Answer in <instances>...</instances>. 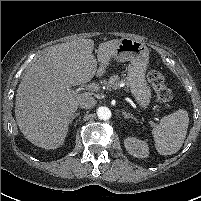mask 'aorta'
Returning a JSON list of instances; mask_svg holds the SVG:
<instances>
[{
    "label": "aorta",
    "mask_w": 201,
    "mask_h": 201,
    "mask_svg": "<svg viewBox=\"0 0 201 201\" xmlns=\"http://www.w3.org/2000/svg\"><path fill=\"white\" fill-rule=\"evenodd\" d=\"M97 116L101 120H108L111 118V111L107 107H99L97 109Z\"/></svg>",
    "instance_id": "762f6f07"
}]
</instances>
